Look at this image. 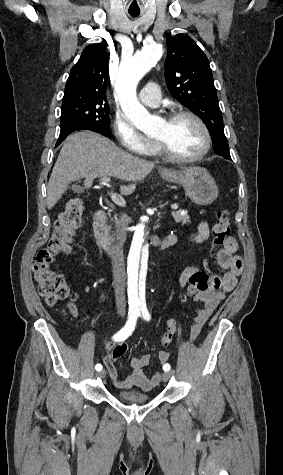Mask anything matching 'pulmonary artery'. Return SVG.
I'll use <instances>...</instances> for the list:
<instances>
[{
  "mask_svg": "<svg viewBox=\"0 0 283 475\" xmlns=\"http://www.w3.org/2000/svg\"><path fill=\"white\" fill-rule=\"evenodd\" d=\"M115 90H136V89H115ZM162 90L158 87L157 81L146 84L139 90V99L146 105L158 106L161 102Z\"/></svg>",
  "mask_w": 283,
  "mask_h": 475,
  "instance_id": "e3ab8cb5",
  "label": "pulmonary artery"
}]
</instances>
